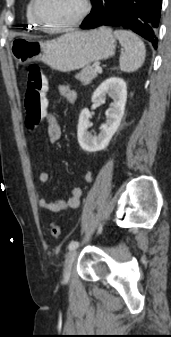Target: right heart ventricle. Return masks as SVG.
<instances>
[{"label": "right heart ventricle", "instance_id": "obj_1", "mask_svg": "<svg viewBox=\"0 0 171 337\" xmlns=\"http://www.w3.org/2000/svg\"><path fill=\"white\" fill-rule=\"evenodd\" d=\"M32 6H33V0H28L26 7H25V21H26V25L28 28H33V29H38L41 26L36 22L34 16H33V10H32Z\"/></svg>", "mask_w": 171, "mask_h": 337}]
</instances>
